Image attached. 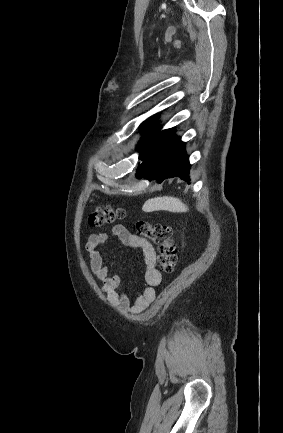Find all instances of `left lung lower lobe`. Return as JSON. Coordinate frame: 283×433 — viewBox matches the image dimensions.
Instances as JSON below:
<instances>
[{
	"mask_svg": "<svg viewBox=\"0 0 283 433\" xmlns=\"http://www.w3.org/2000/svg\"><path fill=\"white\" fill-rule=\"evenodd\" d=\"M152 131L143 147L138 167L137 178L157 179L162 182L169 177L179 176L189 181L190 164L185 152V143L174 135V131Z\"/></svg>",
	"mask_w": 283,
	"mask_h": 433,
	"instance_id": "left-lung-lower-lobe-1",
	"label": "left lung lower lobe"
}]
</instances>
